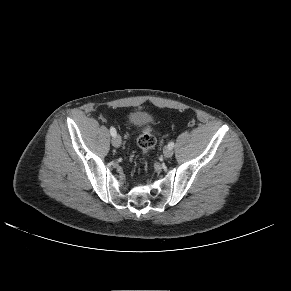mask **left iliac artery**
<instances>
[{"instance_id": "44dca946", "label": "left iliac artery", "mask_w": 291, "mask_h": 291, "mask_svg": "<svg viewBox=\"0 0 291 291\" xmlns=\"http://www.w3.org/2000/svg\"><path fill=\"white\" fill-rule=\"evenodd\" d=\"M168 147L173 148L174 147V142L173 141L169 142Z\"/></svg>"}]
</instances>
